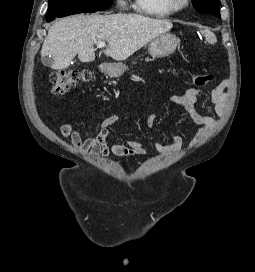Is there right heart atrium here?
<instances>
[{"mask_svg": "<svg viewBox=\"0 0 255 272\" xmlns=\"http://www.w3.org/2000/svg\"><path fill=\"white\" fill-rule=\"evenodd\" d=\"M117 6L119 9H125L126 8V2L125 0H117Z\"/></svg>", "mask_w": 255, "mask_h": 272, "instance_id": "obj_1", "label": "right heart atrium"}]
</instances>
